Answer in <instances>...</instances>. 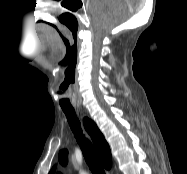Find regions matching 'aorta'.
I'll use <instances>...</instances> for the list:
<instances>
[{
  "instance_id": "aorta-1",
  "label": "aorta",
  "mask_w": 187,
  "mask_h": 174,
  "mask_svg": "<svg viewBox=\"0 0 187 174\" xmlns=\"http://www.w3.org/2000/svg\"><path fill=\"white\" fill-rule=\"evenodd\" d=\"M80 174H87L86 172H81Z\"/></svg>"
}]
</instances>
